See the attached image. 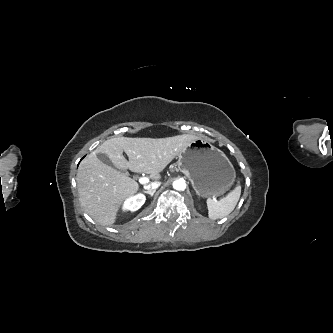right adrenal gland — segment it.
<instances>
[{"label":"right adrenal gland","instance_id":"2a0ac1e0","mask_svg":"<svg viewBox=\"0 0 333 333\" xmlns=\"http://www.w3.org/2000/svg\"><path fill=\"white\" fill-rule=\"evenodd\" d=\"M146 194H149L151 197L154 195V193L156 192V190H150V191H143Z\"/></svg>","mask_w":333,"mask_h":333}]
</instances>
